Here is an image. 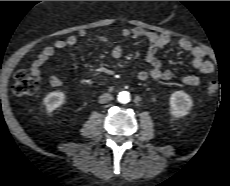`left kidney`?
<instances>
[{
  "label": "left kidney",
  "instance_id": "left-kidney-1",
  "mask_svg": "<svg viewBox=\"0 0 230 186\" xmlns=\"http://www.w3.org/2000/svg\"><path fill=\"white\" fill-rule=\"evenodd\" d=\"M192 105V99L185 92L176 91L171 94L170 108L172 115L175 117H183L187 115Z\"/></svg>",
  "mask_w": 230,
  "mask_h": 186
}]
</instances>
